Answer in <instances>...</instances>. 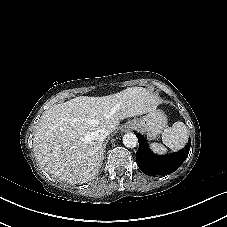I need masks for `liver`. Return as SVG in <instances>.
<instances>
[{"instance_id": "liver-1", "label": "liver", "mask_w": 227, "mask_h": 227, "mask_svg": "<svg viewBox=\"0 0 227 227\" xmlns=\"http://www.w3.org/2000/svg\"><path fill=\"white\" fill-rule=\"evenodd\" d=\"M146 88L132 87L103 97L80 96L46 110L35 126L33 150L39 164L59 180L85 183L99 172L102 142L94 133L114 132L120 121L155 111Z\"/></svg>"}]
</instances>
